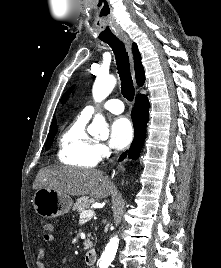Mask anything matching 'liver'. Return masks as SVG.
<instances>
[{
    "mask_svg": "<svg viewBox=\"0 0 221 268\" xmlns=\"http://www.w3.org/2000/svg\"><path fill=\"white\" fill-rule=\"evenodd\" d=\"M53 189L72 196L90 195L96 199L107 198L116 191L115 186L97 169H80L48 166L39 170L33 189Z\"/></svg>",
    "mask_w": 221,
    "mask_h": 268,
    "instance_id": "obj_1",
    "label": "liver"
}]
</instances>
